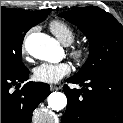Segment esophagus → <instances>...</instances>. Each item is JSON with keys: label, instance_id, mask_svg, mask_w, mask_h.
Returning <instances> with one entry per match:
<instances>
[{"label": "esophagus", "instance_id": "obj_1", "mask_svg": "<svg viewBox=\"0 0 123 123\" xmlns=\"http://www.w3.org/2000/svg\"><path fill=\"white\" fill-rule=\"evenodd\" d=\"M59 89H60L59 86H56V85H50V90H51V91H57V90H59Z\"/></svg>", "mask_w": 123, "mask_h": 123}]
</instances>
